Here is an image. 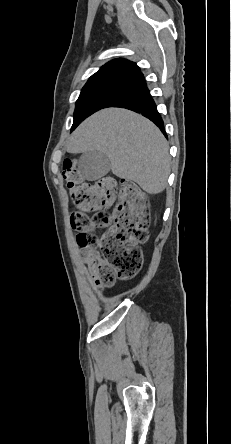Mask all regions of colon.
I'll return each mask as SVG.
<instances>
[{"mask_svg": "<svg viewBox=\"0 0 231 444\" xmlns=\"http://www.w3.org/2000/svg\"><path fill=\"white\" fill-rule=\"evenodd\" d=\"M63 176L79 209L71 216L72 227L80 233L79 243L90 252L100 253L105 262L100 285L108 288L116 280L135 277L143 264L140 245L148 239L150 212L145 193L130 181L118 185L109 177L86 183L70 159L63 164ZM116 200L111 215L107 209ZM101 230L104 232L97 236Z\"/></svg>", "mask_w": 231, "mask_h": 444, "instance_id": "colon-1", "label": "colon"}]
</instances>
